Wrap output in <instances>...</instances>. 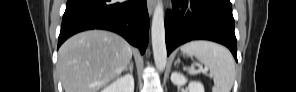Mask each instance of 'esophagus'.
I'll return each mask as SVG.
<instances>
[{
    "instance_id": "esophagus-1",
    "label": "esophagus",
    "mask_w": 296,
    "mask_h": 92,
    "mask_svg": "<svg viewBox=\"0 0 296 92\" xmlns=\"http://www.w3.org/2000/svg\"><path fill=\"white\" fill-rule=\"evenodd\" d=\"M155 0H147V8L150 15H152L154 10Z\"/></svg>"
}]
</instances>
